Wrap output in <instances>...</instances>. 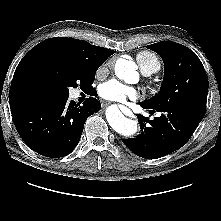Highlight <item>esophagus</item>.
<instances>
[{
    "label": "esophagus",
    "mask_w": 221,
    "mask_h": 221,
    "mask_svg": "<svg viewBox=\"0 0 221 221\" xmlns=\"http://www.w3.org/2000/svg\"><path fill=\"white\" fill-rule=\"evenodd\" d=\"M108 104L107 103H105L103 106H107Z\"/></svg>",
    "instance_id": "obj_1"
}]
</instances>
